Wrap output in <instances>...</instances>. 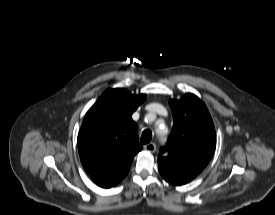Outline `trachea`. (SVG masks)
<instances>
[{
    "mask_svg": "<svg viewBox=\"0 0 275 215\" xmlns=\"http://www.w3.org/2000/svg\"><path fill=\"white\" fill-rule=\"evenodd\" d=\"M152 139V132L150 130H144L141 135V143L147 144Z\"/></svg>",
    "mask_w": 275,
    "mask_h": 215,
    "instance_id": "obj_1",
    "label": "trachea"
}]
</instances>
